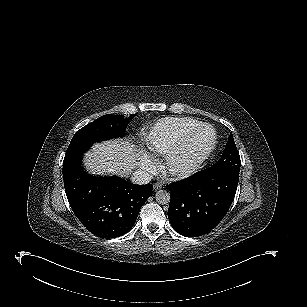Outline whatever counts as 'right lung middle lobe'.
<instances>
[{"label":"right lung middle lobe","instance_id":"dd1d6c3e","mask_svg":"<svg viewBox=\"0 0 307 307\" xmlns=\"http://www.w3.org/2000/svg\"><path fill=\"white\" fill-rule=\"evenodd\" d=\"M134 116V114H131L126 119L121 115L101 116L75 133L66 154L87 151L95 142L124 136L128 120H131Z\"/></svg>","mask_w":307,"mask_h":307}]
</instances>
